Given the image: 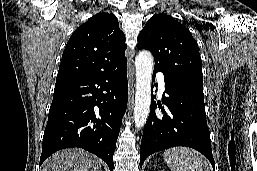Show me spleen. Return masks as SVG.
I'll return each mask as SVG.
<instances>
[{"label": "spleen", "instance_id": "3e777b00", "mask_svg": "<svg viewBox=\"0 0 257 171\" xmlns=\"http://www.w3.org/2000/svg\"><path fill=\"white\" fill-rule=\"evenodd\" d=\"M164 160L171 171H210L206 158L196 150L186 147L165 151Z\"/></svg>", "mask_w": 257, "mask_h": 171}]
</instances>
